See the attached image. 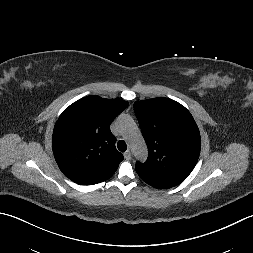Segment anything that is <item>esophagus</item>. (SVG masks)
I'll return each mask as SVG.
<instances>
[{
  "label": "esophagus",
  "mask_w": 253,
  "mask_h": 253,
  "mask_svg": "<svg viewBox=\"0 0 253 253\" xmlns=\"http://www.w3.org/2000/svg\"><path fill=\"white\" fill-rule=\"evenodd\" d=\"M131 156H132V153L130 150H127L125 153H124V158L126 160H130L131 159Z\"/></svg>",
  "instance_id": "obj_1"
}]
</instances>
